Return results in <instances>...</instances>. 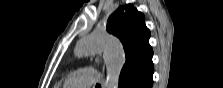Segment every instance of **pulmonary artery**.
<instances>
[{"label":"pulmonary artery","mask_w":223,"mask_h":88,"mask_svg":"<svg viewBox=\"0 0 223 88\" xmlns=\"http://www.w3.org/2000/svg\"><path fill=\"white\" fill-rule=\"evenodd\" d=\"M101 81V75L95 70L84 68L67 76L64 85L73 88H87Z\"/></svg>","instance_id":"e3ab8cb5"}]
</instances>
